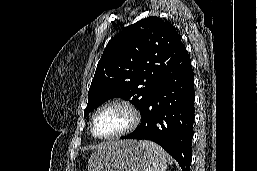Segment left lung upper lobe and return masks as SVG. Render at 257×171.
I'll return each instance as SVG.
<instances>
[{
    "label": "left lung upper lobe",
    "mask_w": 257,
    "mask_h": 171,
    "mask_svg": "<svg viewBox=\"0 0 257 171\" xmlns=\"http://www.w3.org/2000/svg\"><path fill=\"white\" fill-rule=\"evenodd\" d=\"M183 46L174 27L158 17L128 26L109 41L98 62L84 117L114 97L131 100L143 113L166 66Z\"/></svg>",
    "instance_id": "1"
}]
</instances>
